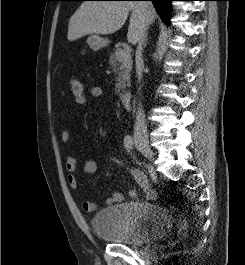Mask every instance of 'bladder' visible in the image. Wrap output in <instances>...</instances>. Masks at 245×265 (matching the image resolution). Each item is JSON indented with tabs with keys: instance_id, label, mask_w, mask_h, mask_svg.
<instances>
[{
	"instance_id": "bladder-1",
	"label": "bladder",
	"mask_w": 245,
	"mask_h": 265,
	"mask_svg": "<svg viewBox=\"0 0 245 265\" xmlns=\"http://www.w3.org/2000/svg\"><path fill=\"white\" fill-rule=\"evenodd\" d=\"M169 218L160 206L150 202H121L97 211L92 230L113 244L142 245L168 232Z\"/></svg>"
}]
</instances>
